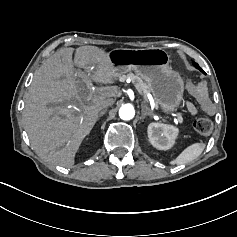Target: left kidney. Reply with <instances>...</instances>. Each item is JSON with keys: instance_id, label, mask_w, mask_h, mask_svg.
<instances>
[{"instance_id": "5707ae66", "label": "left kidney", "mask_w": 237, "mask_h": 237, "mask_svg": "<svg viewBox=\"0 0 237 237\" xmlns=\"http://www.w3.org/2000/svg\"><path fill=\"white\" fill-rule=\"evenodd\" d=\"M178 129L173 126L151 123L148 126V138L153 147L158 150H168L172 147Z\"/></svg>"}]
</instances>
